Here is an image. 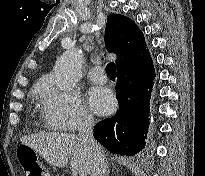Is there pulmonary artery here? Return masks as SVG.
Wrapping results in <instances>:
<instances>
[{"label":"pulmonary artery","mask_w":205,"mask_h":176,"mask_svg":"<svg viewBox=\"0 0 205 176\" xmlns=\"http://www.w3.org/2000/svg\"><path fill=\"white\" fill-rule=\"evenodd\" d=\"M89 79L96 84H104L107 82V77L102 73V68L100 66L92 67L88 71Z\"/></svg>","instance_id":"1"}]
</instances>
